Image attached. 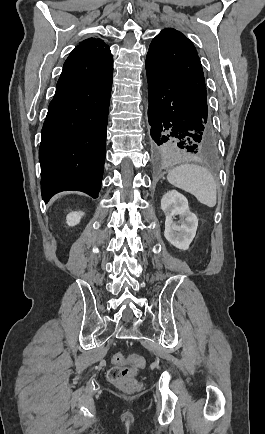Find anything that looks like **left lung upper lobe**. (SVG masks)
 I'll list each match as a JSON object with an SVG mask.
<instances>
[{"instance_id":"obj_1","label":"left lung upper lobe","mask_w":265,"mask_h":434,"mask_svg":"<svg viewBox=\"0 0 265 434\" xmlns=\"http://www.w3.org/2000/svg\"><path fill=\"white\" fill-rule=\"evenodd\" d=\"M147 56L168 71L202 106H207L201 62L193 43L184 34L173 28L162 30L152 40Z\"/></svg>"}]
</instances>
